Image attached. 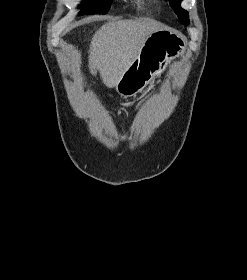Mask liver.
<instances>
[{
  "label": "liver",
  "instance_id": "obj_1",
  "mask_svg": "<svg viewBox=\"0 0 247 280\" xmlns=\"http://www.w3.org/2000/svg\"><path fill=\"white\" fill-rule=\"evenodd\" d=\"M162 30L149 21L120 20L104 24L94 34L89 49V70H98L108 88L116 87L137 58L146 38Z\"/></svg>",
  "mask_w": 247,
  "mask_h": 280
}]
</instances>
